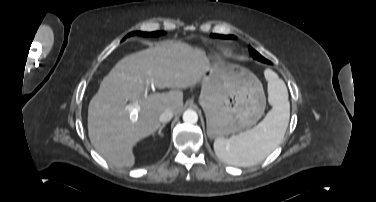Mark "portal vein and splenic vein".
Wrapping results in <instances>:
<instances>
[{"label":"portal vein and splenic vein","instance_id":"18ae733b","mask_svg":"<svg viewBox=\"0 0 376 202\" xmlns=\"http://www.w3.org/2000/svg\"><path fill=\"white\" fill-rule=\"evenodd\" d=\"M146 84H147V87H148V85L150 84V81H147ZM147 93H148V90H147V88H146V89H145V92H144V96H145V97L147 96ZM129 110H130L132 113H135V112H136V105H134V103L131 104V105L129 106Z\"/></svg>","mask_w":376,"mask_h":202}]
</instances>
